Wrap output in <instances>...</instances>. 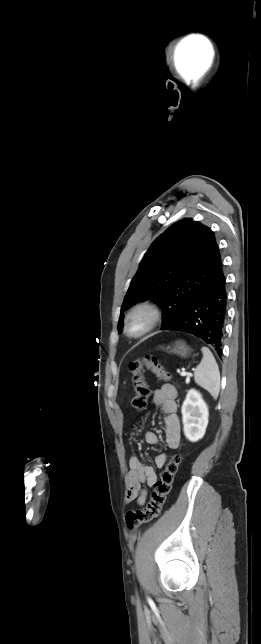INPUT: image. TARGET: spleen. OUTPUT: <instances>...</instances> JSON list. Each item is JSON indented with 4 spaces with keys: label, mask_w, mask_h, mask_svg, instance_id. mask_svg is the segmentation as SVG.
Segmentation results:
<instances>
[{
    "label": "spleen",
    "mask_w": 261,
    "mask_h": 644,
    "mask_svg": "<svg viewBox=\"0 0 261 644\" xmlns=\"http://www.w3.org/2000/svg\"><path fill=\"white\" fill-rule=\"evenodd\" d=\"M203 358L194 372L195 382L216 399L220 391V372L216 360L207 347H202Z\"/></svg>",
    "instance_id": "1"
}]
</instances>
